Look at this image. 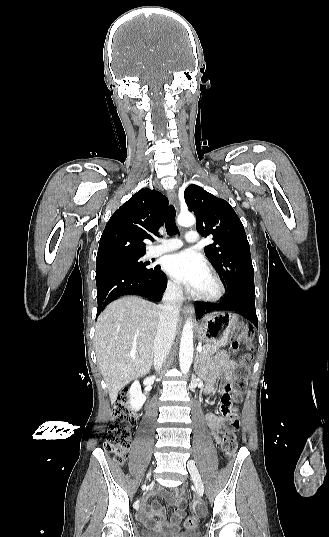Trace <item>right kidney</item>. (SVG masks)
I'll return each instance as SVG.
<instances>
[{
  "label": "right kidney",
  "mask_w": 329,
  "mask_h": 537,
  "mask_svg": "<svg viewBox=\"0 0 329 537\" xmlns=\"http://www.w3.org/2000/svg\"><path fill=\"white\" fill-rule=\"evenodd\" d=\"M128 396H129V404L131 408L135 411L140 410L146 401V397L145 395H143L141 391L140 383L137 380H135L133 384L131 385L128 391Z\"/></svg>",
  "instance_id": "ca27d5eb"
}]
</instances>
